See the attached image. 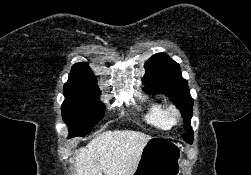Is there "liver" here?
<instances>
[{"label":"liver","instance_id":"obj_1","mask_svg":"<svg viewBox=\"0 0 251 175\" xmlns=\"http://www.w3.org/2000/svg\"><path fill=\"white\" fill-rule=\"evenodd\" d=\"M149 139L151 135L132 129L102 131L75 149L76 175H132Z\"/></svg>","mask_w":251,"mask_h":175}]
</instances>
